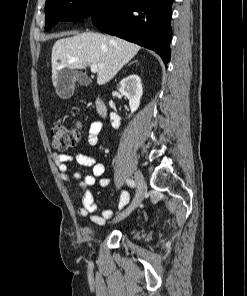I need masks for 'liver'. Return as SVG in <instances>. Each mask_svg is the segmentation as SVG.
I'll return each mask as SVG.
<instances>
[{
  "mask_svg": "<svg viewBox=\"0 0 247 296\" xmlns=\"http://www.w3.org/2000/svg\"><path fill=\"white\" fill-rule=\"evenodd\" d=\"M140 50V46L124 39L86 32L59 39L52 48V82L57 85L58 72L64 68L85 69L100 64L97 84L109 82Z\"/></svg>",
  "mask_w": 247,
  "mask_h": 296,
  "instance_id": "1",
  "label": "liver"
}]
</instances>
